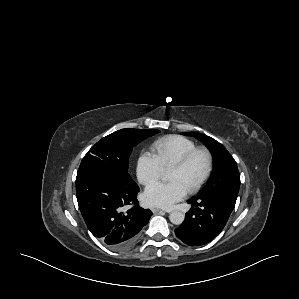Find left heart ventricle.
I'll list each match as a JSON object with an SVG mask.
<instances>
[{"instance_id":"b2bd125f","label":"left heart ventricle","mask_w":299,"mask_h":299,"mask_svg":"<svg viewBox=\"0 0 299 299\" xmlns=\"http://www.w3.org/2000/svg\"><path fill=\"white\" fill-rule=\"evenodd\" d=\"M206 157L204 154H197L190 163L182 170H169V181L180 182L187 190L195 185L206 170Z\"/></svg>"}]
</instances>
